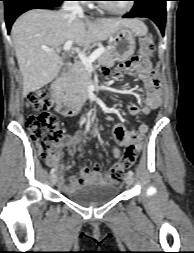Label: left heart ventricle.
Returning a JSON list of instances; mask_svg holds the SVG:
<instances>
[{"mask_svg":"<svg viewBox=\"0 0 194 253\" xmlns=\"http://www.w3.org/2000/svg\"><path fill=\"white\" fill-rule=\"evenodd\" d=\"M108 6L114 8V9H123L127 6L128 2L127 1H109L106 2Z\"/></svg>","mask_w":194,"mask_h":253,"instance_id":"b2bd125f","label":"left heart ventricle"}]
</instances>
